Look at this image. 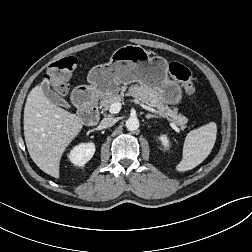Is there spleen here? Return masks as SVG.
<instances>
[{"label": "spleen", "mask_w": 252, "mask_h": 252, "mask_svg": "<svg viewBox=\"0 0 252 252\" xmlns=\"http://www.w3.org/2000/svg\"><path fill=\"white\" fill-rule=\"evenodd\" d=\"M217 135V125L210 122L190 131L184 141L182 160L176 170L184 172L202 163L212 151Z\"/></svg>", "instance_id": "3e777b00"}]
</instances>
